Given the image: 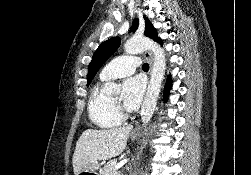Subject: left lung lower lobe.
<instances>
[{
	"instance_id": "left-lung-lower-lobe-1",
	"label": "left lung lower lobe",
	"mask_w": 251,
	"mask_h": 175,
	"mask_svg": "<svg viewBox=\"0 0 251 175\" xmlns=\"http://www.w3.org/2000/svg\"><path fill=\"white\" fill-rule=\"evenodd\" d=\"M161 45L163 44L162 43V40L161 39H158L157 40ZM171 85H172V81H171V78L169 77L167 79V82H166V85H165V89H164V99L166 100L167 99V96L169 94V90L171 88Z\"/></svg>"
}]
</instances>
